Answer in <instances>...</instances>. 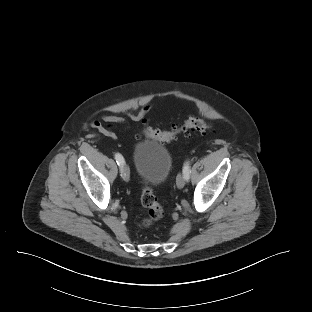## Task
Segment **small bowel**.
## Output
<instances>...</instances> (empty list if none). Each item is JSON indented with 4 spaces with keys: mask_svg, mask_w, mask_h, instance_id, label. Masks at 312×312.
I'll use <instances>...</instances> for the list:
<instances>
[{
    "mask_svg": "<svg viewBox=\"0 0 312 312\" xmlns=\"http://www.w3.org/2000/svg\"><path fill=\"white\" fill-rule=\"evenodd\" d=\"M150 107L146 106L142 110L134 112H126V116L132 121H141L145 118L146 114L149 112ZM115 125H126L125 118L117 115H104L102 120H94L91 126L97 130L102 135L116 139L117 134L114 131Z\"/></svg>",
    "mask_w": 312,
    "mask_h": 312,
    "instance_id": "c3829d8e",
    "label": "small bowel"
}]
</instances>
